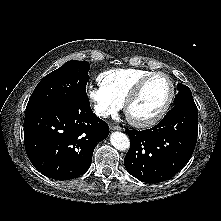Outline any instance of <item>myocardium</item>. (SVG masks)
Here are the masks:
<instances>
[{
  "label": "myocardium",
  "mask_w": 221,
  "mask_h": 221,
  "mask_svg": "<svg viewBox=\"0 0 221 221\" xmlns=\"http://www.w3.org/2000/svg\"><path fill=\"white\" fill-rule=\"evenodd\" d=\"M156 76H164L170 85V92H169V96L165 102V104L163 105V107L161 108V110L155 114L154 116L147 118V119H143V120H137L134 119L132 117H130L129 115V108L130 106L138 99V97L140 96V94L142 93L143 88L145 87V85L154 77ZM175 84L174 81L172 80V78L170 77V75H168L165 72L162 71H155V72H151L150 74L144 76L142 79H140L135 86L133 87V89L130 91V93L127 95V97L125 98L124 102H123V109H124V113L128 119V121L135 127L138 128H148L151 126L156 125L157 123H159L164 117L165 115L168 113L174 98H175Z\"/></svg>",
  "instance_id": "f54148a6"
}]
</instances>
